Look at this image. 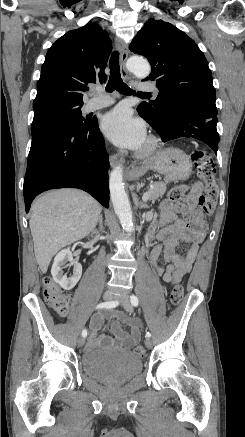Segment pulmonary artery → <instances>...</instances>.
Masks as SVG:
<instances>
[{
	"mask_svg": "<svg viewBox=\"0 0 245 437\" xmlns=\"http://www.w3.org/2000/svg\"><path fill=\"white\" fill-rule=\"evenodd\" d=\"M136 88L139 91H151L154 92L155 94L159 93V89L153 83H149V82L140 83L137 85ZM94 92L97 94V96L88 101V103L86 104L87 110L93 111V110L105 108L114 103V99L109 96H106L103 93L102 89L96 88Z\"/></svg>",
	"mask_w": 245,
	"mask_h": 437,
	"instance_id": "1",
	"label": "pulmonary artery"
}]
</instances>
